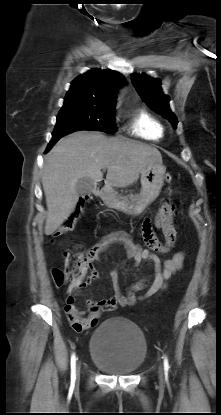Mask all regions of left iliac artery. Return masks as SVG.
Here are the masks:
<instances>
[{"instance_id":"44dca946","label":"left iliac artery","mask_w":221,"mask_h":415,"mask_svg":"<svg viewBox=\"0 0 221 415\" xmlns=\"http://www.w3.org/2000/svg\"><path fill=\"white\" fill-rule=\"evenodd\" d=\"M169 369V364H168V359L165 357L164 358V370L167 373Z\"/></svg>"}]
</instances>
